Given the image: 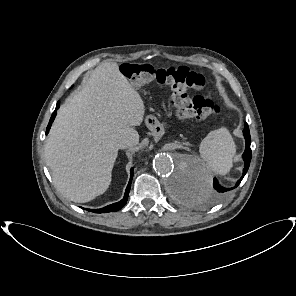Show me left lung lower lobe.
Returning a JSON list of instances; mask_svg holds the SVG:
<instances>
[{
  "label": "left lung lower lobe",
  "mask_w": 296,
  "mask_h": 296,
  "mask_svg": "<svg viewBox=\"0 0 296 296\" xmlns=\"http://www.w3.org/2000/svg\"><path fill=\"white\" fill-rule=\"evenodd\" d=\"M243 133H244V137H245V140H246V149H245V152L243 153V160L245 162V165H244L242 177L237 181L236 185L234 187H232V188H224V187H222L221 185H219L216 178H214L213 186H214V189L219 193L228 192V191L236 188L240 184L241 180L243 179V177L245 176V174L248 171V168H249V165H250V160H251V148H250L251 137H250L249 127H248L247 123H245ZM181 188L182 187H180L179 189H181Z\"/></svg>",
  "instance_id": "obj_1"
}]
</instances>
